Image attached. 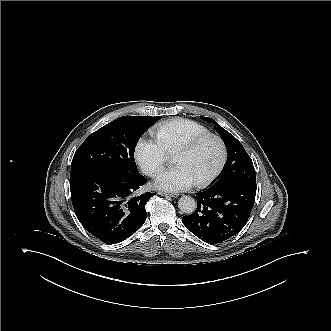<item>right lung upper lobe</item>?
Here are the masks:
<instances>
[{"mask_svg":"<svg viewBox=\"0 0 331 331\" xmlns=\"http://www.w3.org/2000/svg\"><path fill=\"white\" fill-rule=\"evenodd\" d=\"M132 117H138V118H142V119L148 120V121H156V120H158L157 117H151V116H144V117L132 116Z\"/></svg>","mask_w":331,"mask_h":331,"instance_id":"cb5924a9","label":"right lung upper lobe"}]
</instances>
